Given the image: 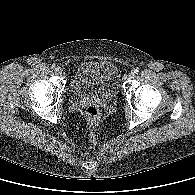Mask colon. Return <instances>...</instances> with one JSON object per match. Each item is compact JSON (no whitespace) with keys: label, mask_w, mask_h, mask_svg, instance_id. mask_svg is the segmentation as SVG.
Here are the masks:
<instances>
[{"label":"colon","mask_w":195,"mask_h":195,"mask_svg":"<svg viewBox=\"0 0 195 195\" xmlns=\"http://www.w3.org/2000/svg\"><path fill=\"white\" fill-rule=\"evenodd\" d=\"M86 117L90 125L96 126L100 120L99 109L93 104L88 105L86 107Z\"/></svg>","instance_id":"obj_1"}]
</instances>
